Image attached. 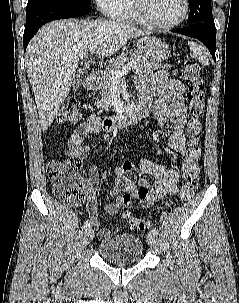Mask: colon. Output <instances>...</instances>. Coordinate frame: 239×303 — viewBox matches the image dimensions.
<instances>
[{
    "instance_id": "obj_1",
    "label": "colon",
    "mask_w": 239,
    "mask_h": 303,
    "mask_svg": "<svg viewBox=\"0 0 239 303\" xmlns=\"http://www.w3.org/2000/svg\"><path fill=\"white\" fill-rule=\"evenodd\" d=\"M187 87V100L190 118L187 125L189 135L188 148L182 163L181 176L182 185L179 191V198L186 202L192 199L199 186L198 159L200 148L198 136L201 131L200 117L204 109L205 92L204 80L199 64L192 59L185 62L182 72ZM81 118L77 102L69 98L64 103L58 121L60 123L75 124ZM81 161L70 157L67 159H53L47 163V174L51 182L54 194L64 203L82 205L86 199V186L80 176ZM124 217L130 227L139 231H145L149 224L143 220L134 218L129 209L132 206V197L129 193L122 196Z\"/></svg>"
}]
</instances>
